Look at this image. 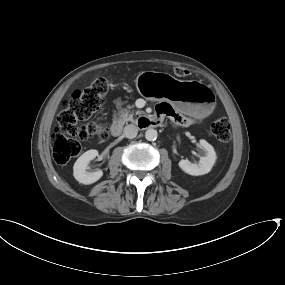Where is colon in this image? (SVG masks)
I'll return each instance as SVG.
<instances>
[{
    "instance_id": "5ec220e1",
    "label": "colon",
    "mask_w": 285,
    "mask_h": 285,
    "mask_svg": "<svg viewBox=\"0 0 285 285\" xmlns=\"http://www.w3.org/2000/svg\"><path fill=\"white\" fill-rule=\"evenodd\" d=\"M176 77L186 78L191 73L185 68H175ZM110 89V82L105 77L95 78L85 89H76L68 100L63 102V109L58 115V125L50 137V146L56 163L63 165L76 157L81 150L80 141L91 136L107 137L104 124L87 120L102 104ZM184 117L177 116L176 121L182 122ZM211 133L220 142H228L231 138L230 124L222 116L211 124Z\"/></svg>"
}]
</instances>
